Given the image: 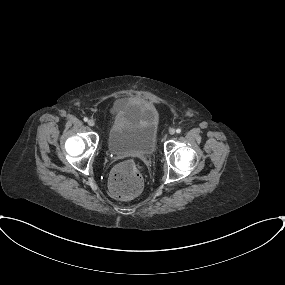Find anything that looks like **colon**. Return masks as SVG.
I'll list each match as a JSON object with an SVG mask.
<instances>
[{"label": "colon", "mask_w": 285, "mask_h": 285, "mask_svg": "<svg viewBox=\"0 0 285 285\" xmlns=\"http://www.w3.org/2000/svg\"><path fill=\"white\" fill-rule=\"evenodd\" d=\"M144 187L142 171L132 162L117 165L110 174L108 189L118 199H132L138 196Z\"/></svg>", "instance_id": "obj_1"}]
</instances>
